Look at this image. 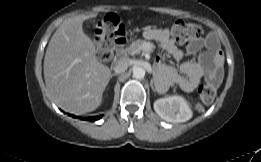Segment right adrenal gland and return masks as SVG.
Masks as SVG:
<instances>
[{
    "label": "right adrenal gland",
    "instance_id": "right-adrenal-gland-1",
    "mask_svg": "<svg viewBox=\"0 0 261 162\" xmlns=\"http://www.w3.org/2000/svg\"><path fill=\"white\" fill-rule=\"evenodd\" d=\"M118 74L117 73H113L111 74L110 78H112L113 76H117Z\"/></svg>",
    "mask_w": 261,
    "mask_h": 162
}]
</instances>
